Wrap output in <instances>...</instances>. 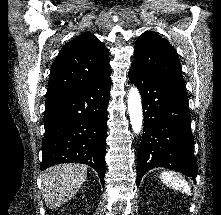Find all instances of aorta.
Wrapping results in <instances>:
<instances>
[{
	"instance_id": "obj_1",
	"label": "aorta",
	"mask_w": 221,
	"mask_h": 215,
	"mask_svg": "<svg viewBox=\"0 0 221 215\" xmlns=\"http://www.w3.org/2000/svg\"><path fill=\"white\" fill-rule=\"evenodd\" d=\"M128 113L130 123L135 134H139L143 126L142 102L139 91L136 87H131L128 93Z\"/></svg>"
}]
</instances>
